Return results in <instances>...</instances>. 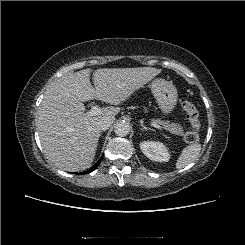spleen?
<instances>
[{
  "mask_svg": "<svg viewBox=\"0 0 245 245\" xmlns=\"http://www.w3.org/2000/svg\"><path fill=\"white\" fill-rule=\"evenodd\" d=\"M201 151V144H191L182 149L179 155L176 168L182 169L197 159Z\"/></svg>",
  "mask_w": 245,
  "mask_h": 245,
  "instance_id": "obj_1",
  "label": "spleen"
}]
</instances>
